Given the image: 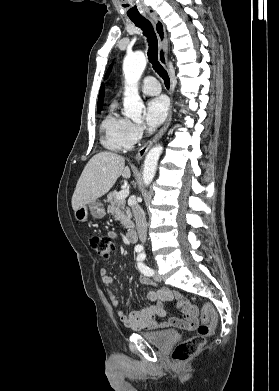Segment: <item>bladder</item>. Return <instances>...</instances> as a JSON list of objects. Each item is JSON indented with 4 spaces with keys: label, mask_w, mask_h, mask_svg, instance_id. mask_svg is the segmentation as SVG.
I'll list each match as a JSON object with an SVG mask.
<instances>
[{
    "label": "bladder",
    "mask_w": 279,
    "mask_h": 391,
    "mask_svg": "<svg viewBox=\"0 0 279 391\" xmlns=\"http://www.w3.org/2000/svg\"><path fill=\"white\" fill-rule=\"evenodd\" d=\"M141 336L150 344L159 348H165L178 338L179 333L175 330H161L142 332Z\"/></svg>",
    "instance_id": "31cf9c89"
}]
</instances>
